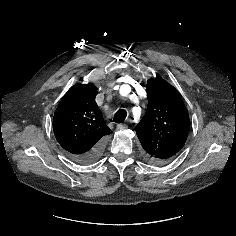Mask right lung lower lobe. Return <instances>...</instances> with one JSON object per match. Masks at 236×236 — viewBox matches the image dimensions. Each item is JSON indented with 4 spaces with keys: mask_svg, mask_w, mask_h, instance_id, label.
Wrapping results in <instances>:
<instances>
[{
    "mask_svg": "<svg viewBox=\"0 0 236 236\" xmlns=\"http://www.w3.org/2000/svg\"><path fill=\"white\" fill-rule=\"evenodd\" d=\"M104 147H105V141L104 139H102L88 152L79 155L69 154V156L76 163L91 164L97 161L101 157L104 151Z\"/></svg>",
    "mask_w": 236,
    "mask_h": 236,
    "instance_id": "1",
    "label": "right lung lower lobe"
}]
</instances>
